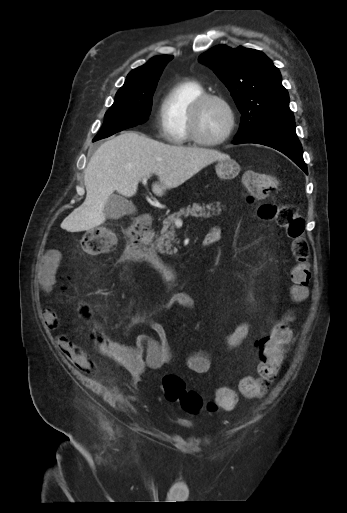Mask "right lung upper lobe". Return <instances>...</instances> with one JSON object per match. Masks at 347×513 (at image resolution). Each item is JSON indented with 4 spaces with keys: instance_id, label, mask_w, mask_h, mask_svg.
<instances>
[{
    "instance_id": "obj_1",
    "label": "right lung upper lobe",
    "mask_w": 347,
    "mask_h": 513,
    "mask_svg": "<svg viewBox=\"0 0 347 513\" xmlns=\"http://www.w3.org/2000/svg\"><path fill=\"white\" fill-rule=\"evenodd\" d=\"M173 56L162 55L151 58L146 64L132 70L120 89H136L157 82L165 65Z\"/></svg>"
}]
</instances>
